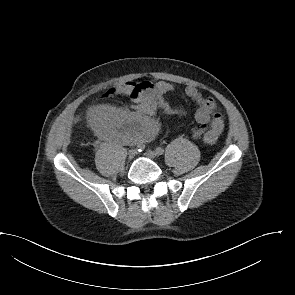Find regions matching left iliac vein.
I'll return each instance as SVG.
<instances>
[{"mask_svg":"<svg viewBox=\"0 0 295 295\" xmlns=\"http://www.w3.org/2000/svg\"><path fill=\"white\" fill-rule=\"evenodd\" d=\"M145 156L148 157V158H150V159H155L156 156H157V154H156V152H154L152 150H147L145 152Z\"/></svg>","mask_w":295,"mask_h":295,"instance_id":"left-iliac-vein-1","label":"left iliac vein"}]
</instances>
